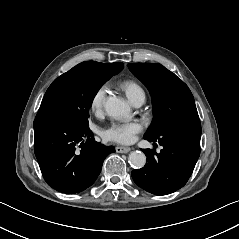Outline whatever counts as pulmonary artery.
<instances>
[{"instance_id":"1","label":"pulmonary artery","mask_w":239,"mask_h":239,"mask_svg":"<svg viewBox=\"0 0 239 239\" xmlns=\"http://www.w3.org/2000/svg\"><path fill=\"white\" fill-rule=\"evenodd\" d=\"M145 101V94L144 93H137L133 97H131V102L134 106H141Z\"/></svg>"}]
</instances>
